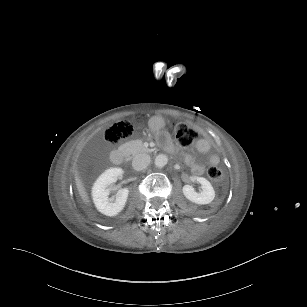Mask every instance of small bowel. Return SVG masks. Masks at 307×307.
Wrapping results in <instances>:
<instances>
[{
	"label": "small bowel",
	"mask_w": 307,
	"mask_h": 307,
	"mask_svg": "<svg viewBox=\"0 0 307 307\" xmlns=\"http://www.w3.org/2000/svg\"><path fill=\"white\" fill-rule=\"evenodd\" d=\"M211 141L207 137L200 138L196 145L195 150L207 157L206 164L207 165H217L220 162V158L215 153H210L211 150ZM187 164L191 167L192 171L196 175H201L206 170V164L196 161L195 157L193 155H188L186 158Z\"/></svg>",
	"instance_id": "1"
}]
</instances>
